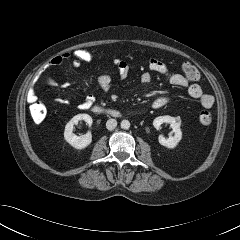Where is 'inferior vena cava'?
I'll use <instances>...</instances> for the list:
<instances>
[{"label": "inferior vena cava", "instance_id": "1", "mask_svg": "<svg viewBox=\"0 0 240 240\" xmlns=\"http://www.w3.org/2000/svg\"><path fill=\"white\" fill-rule=\"evenodd\" d=\"M116 126H117V121H116L115 119H109V120H107V122H106V128H107L108 130H113V129L116 128Z\"/></svg>", "mask_w": 240, "mask_h": 240}]
</instances>
